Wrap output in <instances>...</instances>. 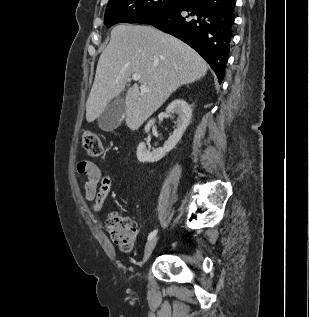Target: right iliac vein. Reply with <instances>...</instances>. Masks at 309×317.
<instances>
[{
	"instance_id": "obj_1",
	"label": "right iliac vein",
	"mask_w": 309,
	"mask_h": 317,
	"mask_svg": "<svg viewBox=\"0 0 309 317\" xmlns=\"http://www.w3.org/2000/svg\"><path fill=\"white\" fill-rule=\"evenodd\" d=\"M157 242H158V237H154L153 239H151L146 244V247H145V250H144L142 264H145L147 262V260L149 259L153 249L155 248Z\"/></svg>"
}]
</instances>
